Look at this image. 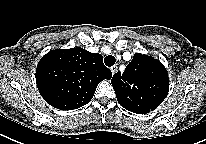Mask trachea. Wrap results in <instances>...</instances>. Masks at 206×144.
<instances>
[{"label":"trachea","mask_w":206,"mask_h":144,"mask_svg":"<svg viewBox=\"0 0 206 144\" xmlns=\"http://www.w3.org/2000/svg\"><path fill=\"white\" fill-rule=\"evenodd\" d=\"M104 62L106 64V66L111 67L115 64L116 59H115L114 56L108 55V56L105 57Z\"/></svg>","instance_id":"trachea-1"}]
</instances>
